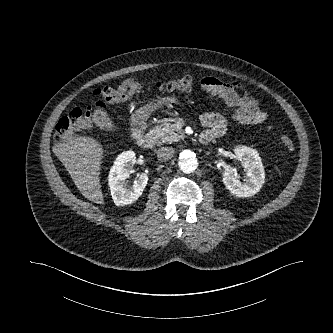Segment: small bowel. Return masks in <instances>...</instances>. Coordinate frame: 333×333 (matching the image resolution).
Masks as SVG:
<instances>
[{"label":"small bowel","mask_w":333,"mask_h":333,"mask_svg":"<svg viewBox=\"0 0 333 333\" xmlns=\"http://www.w3.org/2000/svg\"><path fill=\"white\" fill-rule=\"evenodd\" d=\"M202 87L213 96L219 97L232 112V117L238 122L257 124L266 118L257 100L246 93H238L236 84H226L214 77L202 80ZM201 122L209 129L206 131L212 138L223 134L226 123L222 115L216 112H207L201 116Z\"/></svg>","instance_id":"c3829d8e"}]
</instances>
